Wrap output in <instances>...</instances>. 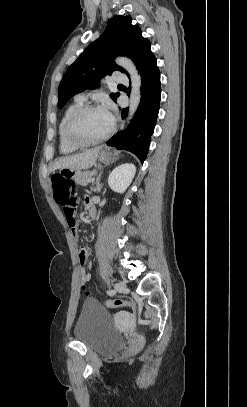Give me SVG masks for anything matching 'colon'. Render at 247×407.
I'll list each match as a JSON object with an SVG mask.
<instances>
[{
  "label": "colon",
  "instance_id": "1",
  "mask_svg": "<svg viewBox=\"0 0 247 407\" xmlns=\"http://www.w3.org/2000/svg\"><path fill=\"white\" fill-rule=\"evenodd\" d=\"M52 188H53V195L54 199L58 204H64L74 196L75 193V183L71 180L66 179L62 175H54L52 177ZM83 289L85 290V294L88 296L90 293L86 290L85 284H83ZM104 304L110 308H117V307H130L134 308V303L130 301H122V300H106Z\"/></svg>",
  "mask_w": 247,
  "mask_h": 407
}]
</instances>
